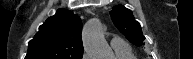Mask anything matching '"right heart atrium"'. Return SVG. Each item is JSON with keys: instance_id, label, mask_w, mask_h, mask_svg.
<instances>
[{"instance_id": "obj_1", "label": "right heart atrium", "mask_w": 193, "mask_h": 59, "mask_svg": "<svg viewBox=\"0 0 193 59\" xmlns=\"http://www.w3.org/2000/svg\"><path fill=\"white\" fill-rule=\"evenodd\" d=\"M82 59H89V55L85 53Z\"/></svg>"}]
</instances>
